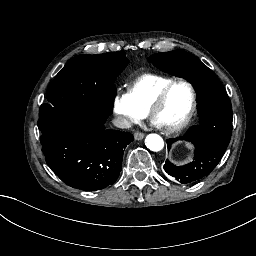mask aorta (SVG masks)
Wrapping results in <instances>:
<instances>
[{
  "instance_id": "762f6f07",
  "label": "aorta",
  "mask_w": 256,
  "mask_h": 256,
  "mask_svg": "<svg viewBox=\"0 0 256 256\" xmlns=\"http://www.w3.org/2000/svg\"><path fill=\"white\" fill-rule=\"evenodd\" d=\"M146 147L152 152H160L164 149V140L158 134H149L145 140Z\"/></svg>"
}]
</instances>
